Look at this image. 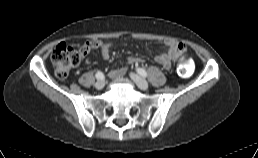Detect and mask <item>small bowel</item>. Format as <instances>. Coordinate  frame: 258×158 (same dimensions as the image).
Listing matches in <instances>:
<instances>
[{"label":"small bowel","mask_w":258,"mask_h":158,"mask_svg":"<svg viewBox=\"0 0 258 158\" xmlns=\"http://www.w3.org/2000/svg\"><path fill=\"white\" fill-rule=\"evenodd\" d=\"M166 50L158 53L155 57V61L160 64L165 69H170L173 61L185 50V45L181 42H178L174 39H166L165 42ZM85 45L89 46L90 50L95 49L99 51L100 56L103 59H109L111 56V48L112 44L109 42H102L99 40H92L85 43ZM128 63L138 64L142 63L143 59L138 56H132L128 58ZM123 70H115L112 71V75H121L123 74Z\"/></svg>","instance_id":"small-bowel-1"}]
</instances>
